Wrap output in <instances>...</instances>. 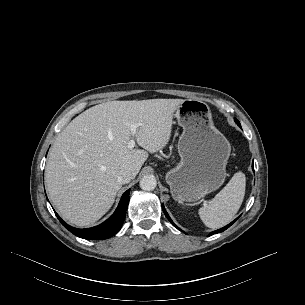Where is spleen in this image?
<instances>
[{
    "label": "spleen",
    "instance_id": "3e777b00",
    "mask_svg": "<svg viewBox=\"0 0 305 305\" xmlns=\"http://www.w3.org/2000/svg\"><path fill=\"white\" fill-rule=\"evenodd\" d=\"M246 178L237 172L228 184L210 201L199 209L203 223L212 229L227 225L238 212L245 195Z\"/></svg>",
    "mask_w": 305,
    "mask_h": 305
}]
</instances>
